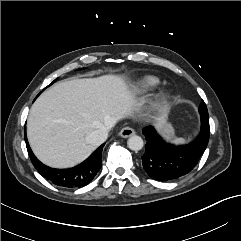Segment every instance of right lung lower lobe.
I'll return each mask as SVG.
<instances>
[{
    "instance_id": "obj_1",
    "label": "right lung lower lobe",
    "mask_w": 241,
    "mask_h": 241,
    "mask_svg": "<svg viewBox=\"0 0 241 241\" xmlns=\"http://www.w3.org/2000/svg\"><path fill=\"white\" fill-rule=\"evenodd\" d=\"M25 142L30 159L36 170L58 186L78 188L89 184L102 166L101 154L104 144L97 148L84 162L70 169H53L41 163L33 154L26 137Z\"/></svg>"
}]
</instances>
